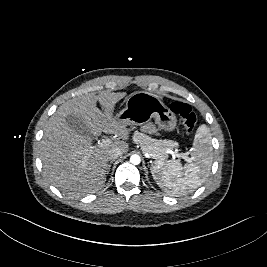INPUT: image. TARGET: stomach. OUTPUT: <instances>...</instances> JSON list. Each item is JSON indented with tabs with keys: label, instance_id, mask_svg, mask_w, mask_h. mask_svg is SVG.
<instances>
[{
	"label": "stomach",
	"instance_id": "stomach-1",
	"mask_svg": "<svg viewBox=\"0 0 267 267\" xmlns=\"http://www.w3.org/2000/svg\"><path fill=\"white\" fill-rule=\"evenodd\" d=\"M115 118L127 125L141 126L151 119L159 129L173 131L176 128L175 114L153 94L138 91L131 94L126 100L125 108L116 114Z\"/></svg>",
	"mask_w": 267,
	"mask_h": 267
}]
</instances>
